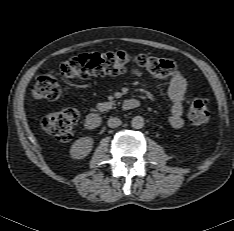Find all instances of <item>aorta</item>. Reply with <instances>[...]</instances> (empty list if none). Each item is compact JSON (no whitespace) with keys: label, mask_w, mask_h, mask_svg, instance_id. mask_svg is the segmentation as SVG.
<instances>
[{"label":"aorta","mask_w":234,"mask_h":231,"mask_svg":"<svg viewBox=\"0 0 234 231\" xmlns=\"http://www.w3.org/2000/svg\"><path fill=\"white\" fill-rule=\"evenodd\" d=\"M131 125L134 129H141L144 127V118L141 116H135L132 121Z\"/></svg>","instance_id":"aorta-1"}]
</instances>
